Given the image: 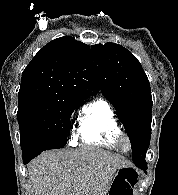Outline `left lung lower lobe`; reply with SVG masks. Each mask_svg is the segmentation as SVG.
<instances>
[{
	"mask_svg": "<svg viewBox=\"0 0 178 195\" xmlns=\"http://www.w3.org/2000/svg\"><path fill=\"white\" fill-rule=\"evenodd\" d=\"M140 169H143L146 173L147 165L139 167Z\"/></svg>",
	"mask_w": 178,
	"mask_h": 195,
	"instance_id": "left-lung-lower-lobe-1",
	"label": "left lung lower lobe"
}]
</instances>
